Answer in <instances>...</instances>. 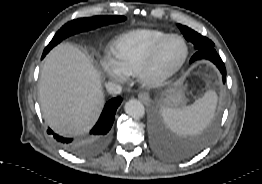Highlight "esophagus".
Returning a JSON list of instances; mask_svg holds the SVG:
<instances>
[{
	"label": "esophagus",
	"mask_w": 262,
	"mask_h": 184,
	"mask_svg": "<svg viewBox=\"0 0 262 184\" xmlns=\"http://www.w3.org/2000/svg\"><path fill=\"white\" fill-rule=\"evenodd\" d=\"M138 98L144 103V104H149L151 102L150 95L146 92H141L138 95Z\"/></svg>",
	"instance_id": "34e87169"
}]
</instances>
